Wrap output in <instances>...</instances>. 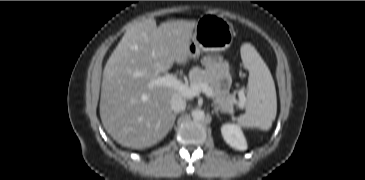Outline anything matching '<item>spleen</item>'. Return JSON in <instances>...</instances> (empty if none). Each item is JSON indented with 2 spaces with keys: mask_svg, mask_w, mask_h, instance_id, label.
<instances>
[{
  "mask_svg": "<svg viewBox=\"0 0 365 180\" xmlns=\"http://www.w3.org/2000/svg\"><path fill=\"white\" fill-rule=\"evenodd\" d=\"M241 57L249 71V77L246 112L237 119V125L243 128L269 130L277 113L274 80L254 47L245 45Z\"/></svg>",
  "mask_w": 365,
  "mask_h": 180,
  "instance_id": "spleen-1",
  "label": "spleen"
}]
</instances>
